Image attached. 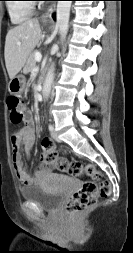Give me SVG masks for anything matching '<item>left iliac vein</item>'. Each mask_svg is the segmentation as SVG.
Listing matches in <instances>:
<instances>
[{
	"label": "left iliac vein",
	"instance_id": "1",
	"mask_svg": "<svg viewBox=\"0 0 133 253\" xmlns=\"http://www.w3.org/2000/svg\"><path fill=\"white\" fill-rule=\"evenodd\" d=\"M51 136L53 139H55L56 141H60L57 132L55 131V129L53 128V130L51 131Z\"/></svg>",
	"mask_w": 133,
	"mask_h": 253
}]
</instances>
